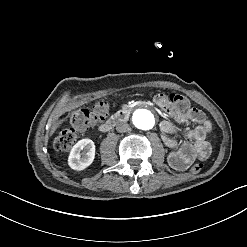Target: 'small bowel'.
<instances>
[{
	"mask_svg": "<svg viewBox=\"0 0 247 247\" xmlns=\"http://www.w3.org/2000/svg\"><path fill=\"white\" fill-rule=\"evenodd\" d=\"M155 101L174 119V122L162 121L159 126L162 140L171 150L167 158L169 165L175 170L184 171L195 160L207 159L211 153V146L206 136L211 130V123L206 120L203 111L196 108L180 110L164 95H157ZM188 124L195 126L186 127ZM175 133L182 135V143L170 137V134Z\"/></svg>",
	"mask_w": 247,
	"mask_h": 247,
	"instance_id": "1",
	"label": "small bowel"
}]
</instances>
